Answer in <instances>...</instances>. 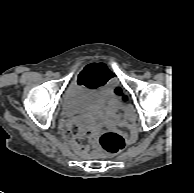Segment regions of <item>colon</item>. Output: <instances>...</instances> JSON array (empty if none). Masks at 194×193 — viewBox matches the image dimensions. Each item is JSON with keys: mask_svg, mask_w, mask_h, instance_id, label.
<instances>
[{"mask_svg": "<svg viewBox=\"0 0 194 193\" xmlns=\"http://www.w3.org/2000/svg\"><path fill=\"white\" fill-rule=\"evenodd\" d=\"M101 148L107 153H119L125 148L124 139L115 133H106L99 138Z\"/></svg>", "mask_w": 194, "mask_h": 193, "instance_id": "colon-1", "label": "colon"}]
</instances>
